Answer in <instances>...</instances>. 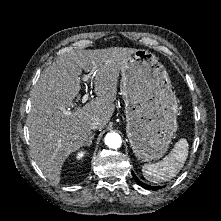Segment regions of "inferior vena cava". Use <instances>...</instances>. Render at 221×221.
<instances>
[{"label": "inferior vena cava", "mask_w": 221, "mask_h": 221, "mask_svg": "<svg viewBox=\"0 0 221 221\" xmlns=\"http://www.w3.org/2000/svg\"><path fill=\"white\" fill-rule=\"evenodd\" d=\"M100 127V122L99 121H93L90 125V128L92 130L98 129Z\"/></svg>", "instance_id": "1"}]
</instances>
